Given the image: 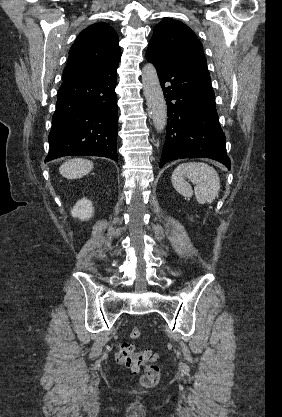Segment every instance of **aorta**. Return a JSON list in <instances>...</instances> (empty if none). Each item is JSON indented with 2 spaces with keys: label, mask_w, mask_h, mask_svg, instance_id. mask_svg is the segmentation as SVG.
<instances>
[{
  "label": "aorta",
  "mask_w": 282,
  "mask_h": 417,
  "mask_svg": "<svg viewBox=\"0 0 282 417\" xmlns=\"http://www.w3.org/2000/svg\"><path fill=\"white\" fill-rule=\"evenodd\" d=\"M141 76L144 96L150 110L151 118L156 130L161 132L167 124V106L154 64H151V62L144 64Z\"/></svg>",
  "instance_id": "obj_1"
}]
</instances>
